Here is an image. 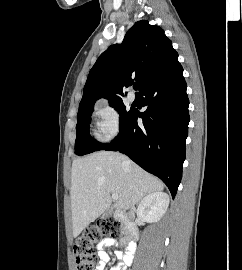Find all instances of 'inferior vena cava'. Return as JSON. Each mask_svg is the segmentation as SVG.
Wrapping results in <instances>:
<instances>
[{"label":"inferior vena cava","mask_w":242,"mask_h":270,"mask_svg":"<svg viewBox=\"0 0 242 270\" xmlns=\"http://www.w3.org/2000/svg\"><path fill=\"white\" fill-rule=\"evenodd\" d=\"M125 164L128 165L129 162L128 161H125ZM133 211H134V208H132V211L131 212L133 213Z\"/></svg>","instance_id":"obj_1"}]
</instances>
